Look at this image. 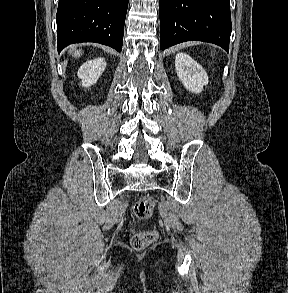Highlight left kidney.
I'll return each mask as SVG.
<instances>
[{"label":"left kidney","instance_id":"1","mask_svg":"<svg viewBox=\"0 0 288 293\" xmlns=\"http://www.w3.org/2000/svg\"><path fill=\"white\" fill-rule=\"evenodd\" d=\"M176 73L183 86L192 93L199 94L208 84L205 70L189 55L179 53L175 58Z\"/></svg>","mask_w":288,"mask_h":293}]
</instances>
